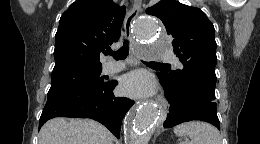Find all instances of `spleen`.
<instances>
[{"label":"spleen","mask_w":260,"mask_h":144,"mask_svg":"<svg viewBox=\"0 0 260 144\" xmlns=\"http://www.w3.org/2000/svg\"><path fill=\"white\" fill-rule=\"evenodd\" d=\"M174 133L178 136H187L190 142H182L181 144H222V137L219 131L212 125L191 121L177 125Z\"/></svg>","instance_id":"3e777b00"}]
</instances>
